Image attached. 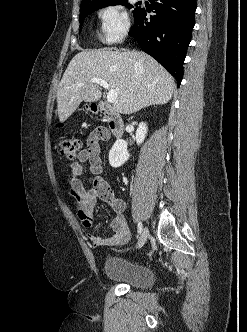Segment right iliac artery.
<instances>
[{"label": "right iliac artery", "mask_w": 247, "mask_h": 332, "mask_svg": "<svg viewBox=\"0 0 247 332\" xmlns=\"http://www.w3.org/2000/svg\"><path fill=\"white\" fill-rule=\"evenodd\" d=\"M142 230H143L142 223L138 222V234H141Z\"/></svg>", "instance_id": "1"}]
</instances>
